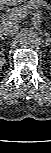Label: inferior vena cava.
<instances>
[{"mask_svg":"<svg viewBox=\"0 0 51 153\" xmlns=\"http://www.w3.org/2000/svg\"><path fill=\"white\" fill-rule=\"evenodd\" d=\"M19 30V25L14 21H3L0 25V33L5 36L15 35Z\"/></svg>","mask_w":51,"mask_h":153,"instance_id":"602c4592","label":"inferior vena cava"}]
</instances>
